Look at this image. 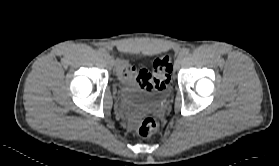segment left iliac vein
Masks as SVG:
<instances>
[{"instance_id": "obj_1", "label": "left iliac vein", "mask_w": 279, "mask_h": 166, "mask_svg": "<svg viewBox=\"0 0 279 166\" xmlns=\"http://www.w3.org/2000/svg\"><path fill=\"white\" fill-rule=\"evenodd\" d=\"M181 62H182V57L179 56V57L176 59L175 64H174V69H175V70H178V69L180 68Z\"/></svg>"}]
</instances>
